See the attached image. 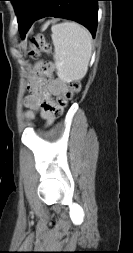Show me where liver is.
<instances>
[{
	"label": "liver",
	"instance_id": "obj_1",
	"mask_svg": "<svg viewBox=\"0 0 133 253\" xmlns=\"http://www.w3.org/2000/svg\"><path fill=\"white\" fill-rule=\"evenodd\" d=\"M49 22L45 23L43 26V29H45L48 26Z\"/></svg>",
	"mask_w": 133,
	"mask_h": 253
}]
</instances>
